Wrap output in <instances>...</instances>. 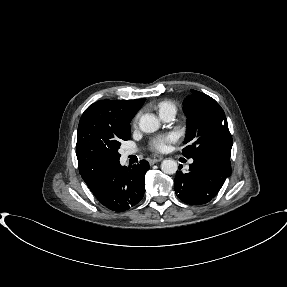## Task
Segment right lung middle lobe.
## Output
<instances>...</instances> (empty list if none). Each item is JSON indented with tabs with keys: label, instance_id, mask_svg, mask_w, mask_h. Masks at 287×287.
<instances>
[{
	"label": "right lung middle lobe",
	"instance_id": "1",
	"mask_svg": "<svg viewBox=\"0 0 287 287\" xmlns=\"http://www.w3.org/2000/svg\"><path fill=\"white\" fill-rule=\"evenodd\" d=\"M120 147V143L116 144L113 150V160L118 162L120 158V154L118 153V149Z\"/></svg>",
	"mask_w": 287,
	"mask_h": 287
}]
</instances>
